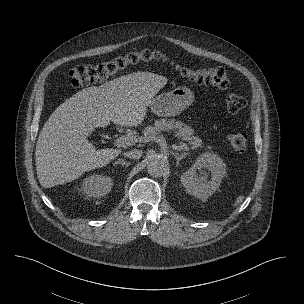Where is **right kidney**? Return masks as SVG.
<instances>
[{
	"label": "right kidney",
	"instance_id": "right-kidney-1",
	"mask_svg": "<svg viewBox=\"0 0 304 304\" xmlns=\"http://www.w3.org/2000/svg\"><path fill=\"white\" fill-rule=\"evenodd\" d=\"M113 180L102 174H92L83 179L81 190L89 197L98 198L108 194L112 188Z\"/></svg>",
	"mask_w": 304,
	"mask_h": 304
}]
</instances>
